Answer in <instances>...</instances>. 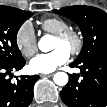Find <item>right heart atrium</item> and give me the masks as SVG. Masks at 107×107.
I'll return each mask as SVG.
<instances>
[{"mask_svg":"<svg viewBox=\"0 0 107 107\" xmlns=\"http://www.w3.org/2000/svg\"><path fill=\"white\" fill-rule=\"evenodd\" d=\"M15 41L19 51L25 57L33 56L38 50L37 37L30 22H25L19 27Z\"/></svg>","mask_w":107,"mask_h":107,"instance_id":"1","label":"right heart atrium"}]
</instances>
